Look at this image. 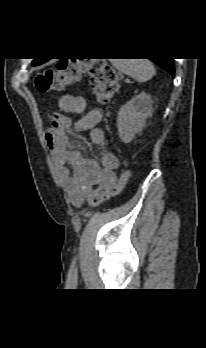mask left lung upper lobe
Segmentation results:
<instances>
[{"mask_svg":"<svg viewBox=\"0 0 206 348\" xmlns=\"http://www.w3.org/2000/svg\"><path fill=\"white\" fill-rule=\"evenodd\" d=\"M43 62H45V60L34 59L32 61V65L36 66V65L42 64Z\"/></svg>","mask_w":206,"mask_h":348,"instance_id":"5c2ea615","label":"left lung upper lobe"}]
</instances>
